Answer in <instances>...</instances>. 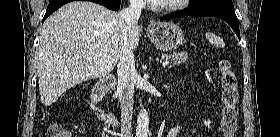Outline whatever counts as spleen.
I'll return each mask as SVG.
<instances>
[{"mask_svg":"<svg viewBox=\"0 0 280 137\" xmlns=\"http://www.w3.org/2000/svg\"><path fill=\"white\" fill-rule=\"evenodd\" d=\"M205 36H206V39L210 43H212L214 46L219 47V48H224L225 47L224 41L220 37L215 35L214 33L206 32Z\"/></svg>","mask_w":280,"mask_h":137,"instance_id":"3e777b00","label":"spleen"}]
</instances>
